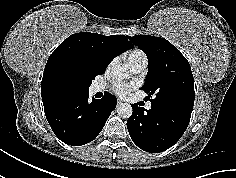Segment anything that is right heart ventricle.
<instances>
[{
	"label": "right heart ventricle",
	"mask_w": 236,
	"mask_h": 178,
	"mask_svg": "<svg viewBox=\"0 0 236 178\" xmlns=\"http://www.w3.org/2000/svg\"><path fill=\"white\" fill-rule=\"evenodd\" d=\"M128 62L130 66H133L137 63L146 61L147 62V57L146 54L140 50V49H132L129 53H128Z\"/></svg>",
	"instance_id": "obj_1"
}]
</instances>
